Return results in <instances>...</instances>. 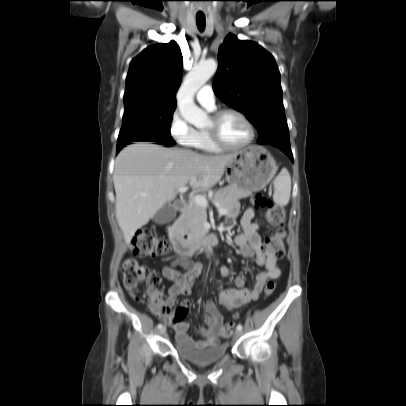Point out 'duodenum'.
Segmentation results:
<instances>
[{
	"instance_id": "1",
	"label": "duodenum",
	"mask_w": 406,
	"mask_h": 406,
	"mask_svg": "<svg viewBox=\"0 0 406 406\" xmlns=\"http://www.w3.org/2000/svg\"><path fill=\"white\" fill-rule=\"evenodd\" d=\"M175 209L178 212H183L186 209V202L179 200L175 202ZM168 237L172 243L174 250L182 257H188L198 249L208 245H217L219 237L216 233H210L206 230L195 234H182L176 223H172L167 229Z\"/></svg>"
}]
</instances>
